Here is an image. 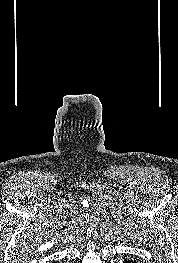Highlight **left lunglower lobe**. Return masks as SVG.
<instances>
[{
  "label": "left lung lower lobe",
  "mask_w": 178,
  "mask_h": 263,
  "mask_svg": "<svg viewBox=\"0 0 178 263\" xmlns=\"http://www.w3.org/2000/svg\"><path fill=\"white\" fill-rule=\"evenodd\" d=\"M125 263H135V261H130V260H128V261H126Z\"/></svg>",
  "instance_id": "0a47b994"
}]
</instances>
